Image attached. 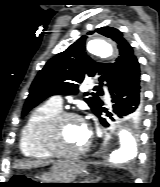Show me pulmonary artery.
I'll list each match as a JSON object with an SVG mask.
<instances>
[{
	"instance_id": "1",
	"label": "pulmonary artery",
	"mask_w": 160,
	"mask_h": 187,
	"mask_svg": "<svg viewBox=\"0 0 160 187\" xmlns=\"http://www.w3.org/2000/svg\"><path fill=\"white\" fill-rule=\"evenodd\" d=\"M105 100L107 103L110 102V97L108 94L105 95ZM51 102L56 105L57 107L61 108L62 106V99L59 97V96H54L52 99H51Z\"/></svg>"
}]
</instances>
